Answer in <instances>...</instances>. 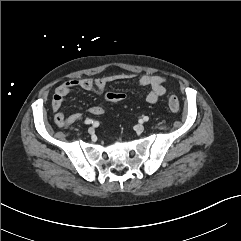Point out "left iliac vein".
<instances>
[{
	"mask_svg": "<svg viewBox=\"0 0 241 241\" xmlns=\"http://www.w3.org/2000/svg\"><path fill=\"white\" fill-rule=\"evenodd\" d=\"M135 130L138 133H142L144 131V126L142 124H138L135 126Z\"/></svg>",
	"mask_w": 241,
	"mask_h": 241,
	"instance_id": "4c4485c4",
	"label": "left iliac vein"
}]
</instances>
